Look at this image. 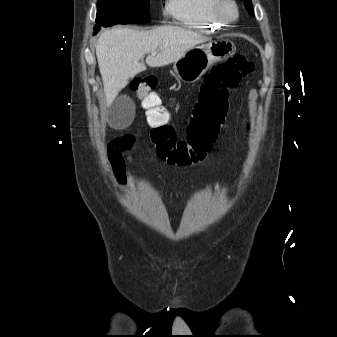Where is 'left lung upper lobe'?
Returning a JSON list of instances; mask_svg holds the SVG:
<instances>
[{
  "mask_svg": "<svg viewBox=\"0 0 337 337\" xmlns=\"http://www.w3.org/2000/svg\"><path fill=\"white\" fill-rule=\"evenodd\" d=\"M244 4H245L246 9L249 11L250 15L253 16L254 12H253V6L251 3V0H244Z\"/></svg>",
  "mask_w": 337,
  "mask_h": 337,
  "instance_id": "left-lung-upper-lobe-1",
  "label": "left lung upper lobe"
}]
</instances>
